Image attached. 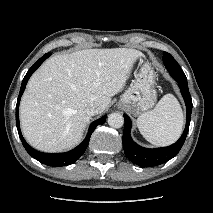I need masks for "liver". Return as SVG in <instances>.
<instances>
[{
    "mask_svg": "<svg viewBox=\"0 0 213 213\" xmlns=\"http://www.w3.org/2000/svg\"><path fill=\"white\" fill-rule=\"evenodd\" d=\"M142 53L130 48L85 49L56 55L31 76L20 103V123L27 142L37 150H68L89 122L86 108L102 113L125 86Z\"/></svg>",
    "mask_w": 213,
    "mask_h": 213,
    "instance_id": "1",
    "label": "liver"
}]
</instances>
